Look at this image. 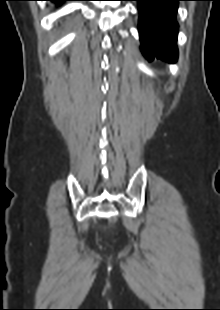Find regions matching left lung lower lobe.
<instances>
[{
	"mask_svg": "<svg viewBox=\"0 0 220 310\" xmlns=\"http://www.w3.org/2000/svg\"><path fill=\"white\" fill-rule=\"evenodd\" d=\"M138 2L141 51L146 59L154 57L175 62L178 58L176 14L183 0H133Z\"/></svg>",
	"mask_w": 220,
	"mask_h": 310,
	"instance_id": "1",
	"label": "left lung lower lobe"
}]
</instances>
